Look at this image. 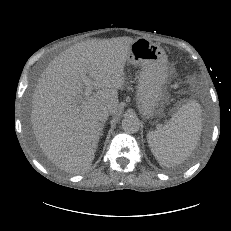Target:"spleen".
I'll return each instance as SVG.
<instances>
[{
    "label": "spleen",
    "instance_id": "1",
    "mask_svg": "<svg viewBox=\"0 0 231 231\" xmlns=\"http://www.w3.org/2000/svg\"><path fill=\"white\" fill-rule=\"evenodd\" d=\"M202 131L200 105L191 101L182 105L164 126L147 134L148 145L161 166L182 163L198 145Z\"/></svg>",
    "mask_w": 231,
    "mask_h": 231
}]
</instances>
